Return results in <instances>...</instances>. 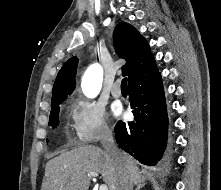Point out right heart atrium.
<instances>
[{"label":"right heart atrium","mask_w":221,"mask_h":190,"mask_svg":"<svg viewBox=\"0 0 221 190\" xmlns=\"http://www.w3.org/2000/svg\"><path fill=\"white\" fill-rule=\"evenodd\" d=\"M71 118L75 137L82 145L104 140L111 133L104 108L94 101L81 97L73 99Z\"/></svg>","instance_id":"d8ad5b80"}]
</instances>
